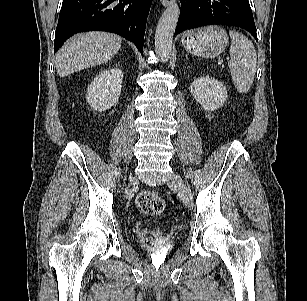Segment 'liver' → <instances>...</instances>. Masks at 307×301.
<instances>
[{"label":"liver","mask_w":307,"mask_h":301,"mask_svg":"<svg viewBox=\"0 0 307 301\" xmlns=\"http://www.w3.org/2000/svg\"><path fill=\"white\" fill-rule=\"evenodd\" d=\"M122 38L116 34L92 31L68 40L56 54V69L60 77L78 70L100 65L117 54Z\"/></svg>","instance_id":"obj_1"}]
</instances>
